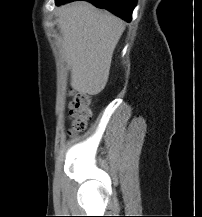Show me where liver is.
Wrapping results in <instances>:
<instances>
[{
    "label": "liver",
    "mask_w": 202,
    "mask_h": 217,
    "mask_svg": "<svg viewBox=\"0 0 202 217\" xmlns=\"http://www.w3.org/2000/svg\"><path fill=\"white\" fill-rule=\"evenodd\" d=\"M57 17L71 69V87L81 94L97 95L108 81L113 51L125 29L124 22L84 1L62 5Z\"/></svg>",
    "instance_id": "obj_1"
}]
</instances>
